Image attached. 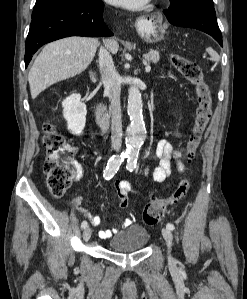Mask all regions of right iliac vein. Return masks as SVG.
<instances>
[{
  "mask_svg": "<svg viewBox=\"0 0 247 299\" xmlns=\"http://www.w3.org/2000/svg\"><path fill=\"white\" fill-rule=\"evenodd\" d=\"M92 231L90 227H86L83 231V240L88 241L91 237Z\"/></svg>",
  "mask_w": 247,
  "mask_h": 299,
  "instance_id": "obj_1",
  "label": "right iliac vein"
}]
</instances>
